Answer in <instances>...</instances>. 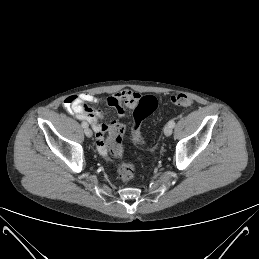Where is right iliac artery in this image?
<instances>
[{"label":"right iliac artery","instance_id":"82829eb1","mask_svg":"<svg viewBox=\"0 0 259 259\" xmlns=\"http://www.w3.org/2000/svg\"><path fill=\"white\" fill-rule=\"evenodd\" d=\"M82 127H83V128H86V127H88V124H87V122L83 121V122H82Z\"/></svg>","mask_w":259,"mask_h":259}]
</instances>
